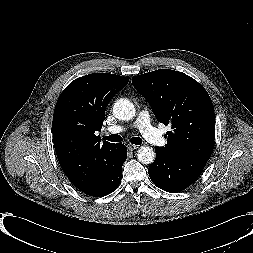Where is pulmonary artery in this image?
<instances>
[{"label":"pulmonary artery","instance_id":"1","mask_svg":"<svg viewBox=\"0 0 253 253\" xmlns=\"http://www.w3.org/2000/svg\"><path fill=\"white\" fill-rule=\"evenodd\" d=\"M135 126L139 127L143 137L149 143L155 146H164L166 144V138L163 133L158 131L150 124L149 113L147 111L142 110L138 113ZM126 129V125H113L110 126L105 133L119 134L124 132Z\"/></svg>","mask_w":253,"mask_h":253}]
</instances>
